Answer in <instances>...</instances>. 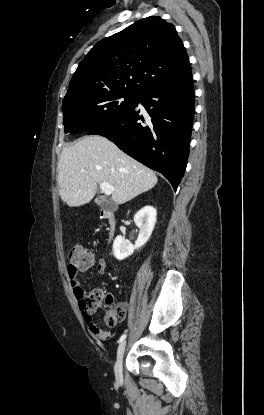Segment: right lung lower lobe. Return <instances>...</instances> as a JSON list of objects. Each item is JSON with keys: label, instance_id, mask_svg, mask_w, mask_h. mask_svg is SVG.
<instances>
[{"label": "right lung lower lobe", "instance_id": "98d812e1", "mask_svg": "<svg viewBox=\"0 0 264 415\" xmlns=\"http://www.w3.org/2000/svg\"><path fill=\"white\" fill-rule=\"evenodd\" d=\"M141 103L146 112L136 110ZM194 117L192 74L151 87L134 107L91 129L149 168L162 173L176 191L184 175Z\"/></svg>", "mask_w": 264, "mask_h": 415}]
</instances>
